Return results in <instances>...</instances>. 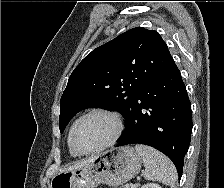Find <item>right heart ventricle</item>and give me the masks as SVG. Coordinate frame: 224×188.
<instances>
[{
    "label": "right heart ventricle",
    "instance_id": "right-heart-ventricle-1",
    "mask_svg": "<svg viewBox=\"0 0 224 188\" xmlns=\"http://www.w3.org/2000/svg\"><path fill=\"white\" fill-rule=\"evenodd\" d=\"M75 122L72 124L70 130H69V133H68V138H67V143H68V148H69V151H70V154L74 157H76L78 154H76L72 148H71V144H70V136H71V131H72V128L74 126Z\"/></svg>",
    "mask_w": 224,
    "mask_h": 188
}]
</instances>
